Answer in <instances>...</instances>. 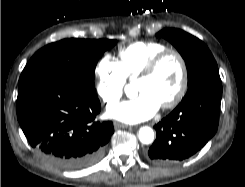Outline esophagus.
<instances>
[{
  "mask_svg": "<svg viewBox=\"0 0 245 187\" xmlns=\"http://www.w3.org/2000/svg\"><path fill=\"white\" fill-rule=\"evenodd\" d=\"M129 126L123 123H119V122H114V128L115 129H121V128H128Z\"/></svg>",
  "mask_w": 245,
  "mask_h": 187,
  "instance_id": "esophagus-1",
  "label": "esophagus"
}]
</instances>
